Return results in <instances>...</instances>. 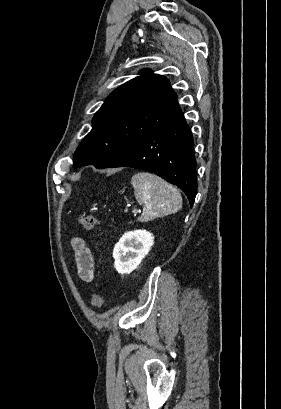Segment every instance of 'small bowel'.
Instances as JSON below:
<instances>
[{
    "instance_id": "c3829d8e",
    "label": "small bowel",
    "mask_w": 281,
    "mask_h": 409,
    "mask_svg": "<svg viewBox=\"0 0 281 409\" xmlns=\"http://www.w3.org/2000/svg\"><path fill=\"white\" fill-rule=\"evenodd\" d=\"M72 248L73 264L79 278L83 282H91L94 278L95 261L90 248L80 237L72 239Z\"/></svg>"
}]
</instances>
